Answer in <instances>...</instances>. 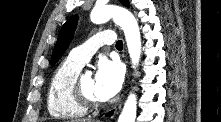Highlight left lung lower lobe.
<instances>
[{"label":"left lung lower lobe","mask_w":221,"mask_h":122,"mask_svg":"<svg viewBox=\"0 0 221 122\" xmlns=\"http://www.w3.org/2000/svg\"><path fill=\"white\" fill-rule=\"evenodd\" d=\"M112 113H113V111H112V112H110V113H108L106 116H110V115H112Z\"/></svg>","instance_id":"1"}]
</instances>
